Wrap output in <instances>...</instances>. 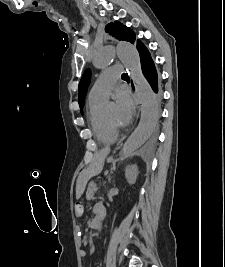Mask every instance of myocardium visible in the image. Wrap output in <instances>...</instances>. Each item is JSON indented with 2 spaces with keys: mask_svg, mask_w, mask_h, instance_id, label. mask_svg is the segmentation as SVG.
Segmentation results:
<instances>
[{
  "mask_svg": "<svg viewBox=\"0 0 225 267\" xmlns=\"http://www.w3.org/2000/svg\"><path fill=\"white\" fill-rule=\"evenodd\" d=\"M104 119H105L107 125L110 127V129L117 132V126L112 124L111 122H109L105 117H104Z\"/></svg>",
  "mask_w": 225,
  "mask_h": 267,
  "instance_id": "obj_1",
  "label": "myocardium"
}]
</instances>
